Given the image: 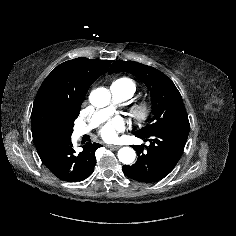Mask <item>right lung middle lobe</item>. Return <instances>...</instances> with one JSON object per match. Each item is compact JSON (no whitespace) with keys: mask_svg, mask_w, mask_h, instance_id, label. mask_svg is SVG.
<instances>
[{"mask_svg":"<svg viewBox=\"0 0 236 236\" xmlns=\"http://www.w3.org/2000/svg\"><path fill=\"white\" fill-rule=\"evenodd\" d=\"M73 125H74V122L65 124V126L62 129L57 130L55 132V135L64 137V138H69L73 132Z\"/></svg>","mask_w":236,"mask_h":236,"instance_id":"1","label":"right lung middle lobe"}]
</instances>
